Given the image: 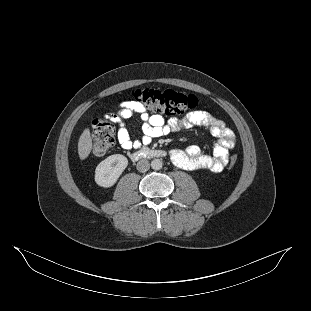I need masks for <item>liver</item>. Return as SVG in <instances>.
Segmentation results:
<instances>
[{"instance_id": "6515ba94", "label": "liver", "mask_w": 311, "mask_h": 311, "mask_svg": "<svg viewBox=\"0 0 311 311\" xmlns=\"http://www.w3.org/2000/svg\"><path fill=\"white\" fill-rule=\"evenodd\" d=\"M92 149L90 132L86 129L80 137L78 144L79 156L81 159H85Z\"/></svg>"}]
</instances>
